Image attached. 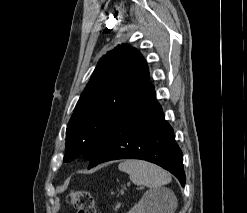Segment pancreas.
<instances>
[{
    "label": "pancreas",
    "mask_w": 247,
    "mask_h": 213,
    "mask_svg": "<svg viewBox=\"0 0 247 213\" xmlns=\"http://www.w3.org/2000/svg\"><path fill=\"white\" fill-rule=\"evenodd\" d=\"M119 207H120V203H117L116 208H119Z\"/></svg>",
    "instance_id": "1"
}]
</instances>
